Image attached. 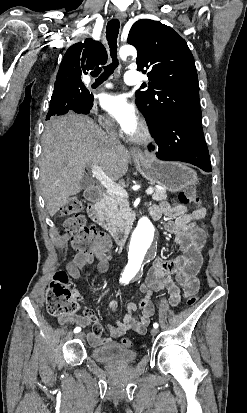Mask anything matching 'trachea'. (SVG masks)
<instances>
[{"mask_svg": "<svg viewBox=\"0 0 247 413\" xmlns=\"http://www.w3.org/2000/svg\"><path fill=\"white\" fill-rule=\"evenodd\" d=\"M120 23L119 20L113 19L108 22L106 27V37L110 47V54L112 57V63L104 68V72L98 77L97 80H107L110 75L114 72L115 68L118 66L119 62L117 59V36L119 33Z\"/></svg>", "mask_w": 247, "mask_h": 413, "instance_id": "1", "label": "trachea"}]
</instances>
